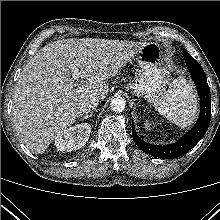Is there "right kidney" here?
<instances>
[{
    "instance_id": "ca27d5eb",
    "label": "right kidney",
    "mask_w": 220,
    "mask_h": 220,
    "mask_svg": "<svg viewBox=\"0 0 220 220\" xmlns=\"http://www.w3.org/2000/svg\"><path fill=\"white\" fill-rule=\"evenodd\" d=\"M91 125L81 123L64 129L55 137V146L58 151H73L82 148L89 139Z\"/></svg>"
}]
</instances>
